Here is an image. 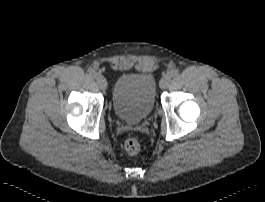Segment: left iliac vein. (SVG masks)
<instances>
[{"mask_svg": "<svg viewBox=\"0 0 265 202\" xmlns=\"http://www.w3.org/2000/svg\"><path fill=\"white\" fill-rule=\"evenodd\" d=\"M172 75L170 73L165 74L160 80V87L166 89L170 86Z\"/></svg>", "mask_w": 265, "mask_h": 202, "instance_id": "1", "label": "left iliac vein"}]
</instances>
